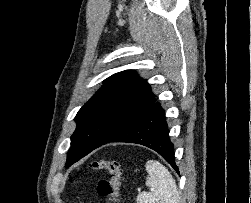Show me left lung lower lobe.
Masks as SVG:
<instances>
[{"instance_id":"1","label":"left lung lower lobe","mask_w":251,"mask_h":203,"mask_svg":"<svg viewBox=\"0 0 251 203\" xmlns=\"http://www.w3.org/2000/svg\"><path fill=\"white\" fill-rule=\"evenodd\" d=\"M168 134L165 111L158 102H154L107 142L136 143L149 147L159 153L179 174L174 159V145Z\"/></svg>"}]
</instances>
